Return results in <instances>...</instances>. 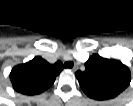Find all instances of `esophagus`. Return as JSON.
Listing matches in <instances>:
<instances>
[{"label": "esophagus", "instance_id": "34e87169", "mask_svg": "<svg viewBox=\"0 0 133 106\" xmlns=\"http://www.w3.org/2000/svg\"><path fill=\"white\" fill-rule=\"evenodd\" d=\"M77 69H78V66L75 64V65L72 67L71 70L75 72Z\"/></svg>", "mask_w": 133, "mask_h": 106}]
</instances>
